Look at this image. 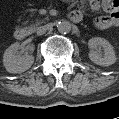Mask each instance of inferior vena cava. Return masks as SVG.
Wrapping results in <instances>:
<instances>
[{"mask_svg":"<svg viewBox=\"0 0 119 119\" xmlns=\"http://www.w3.org/2000/svg\"><path fill=\"white\" fill-rule=\"evenodd\" d=\"M51 29H52V25L51 24H46V25L41 26L37 29V34L42 35V34H44L45 32H47L48 30H51Z\"/></svg>","mask_w":119,"mask_h":119,"instance_id":"1","label":"inferior vena cava"}]
</instances>
